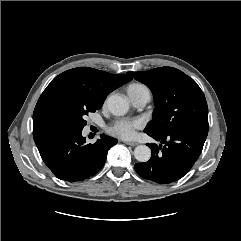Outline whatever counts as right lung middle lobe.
<instances>
[{
    "instance_id": "1",
    "label": "right lung middle lobe",
    "mask_w": 241,
    "mask_h": 241,
    "mask_svg": "<svg viewBox=\"0 0 241 241\" xmlns=\"http://www.w3.org/2000/svg\"><path fill=\"white\" fill-rule=\"evenodd\" d=\"M100 108L83 107L61 101L49 103L33 116V132L66 127L83 129L86 125L85 116Z\"/></svg>"
}]
</instances>
